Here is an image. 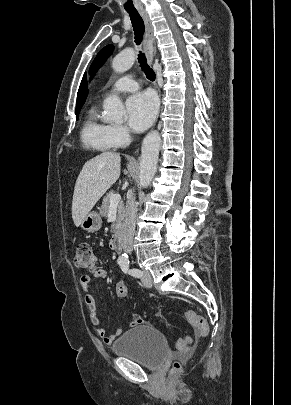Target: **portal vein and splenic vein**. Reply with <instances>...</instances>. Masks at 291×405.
<instances>
[{
    "label": "portal vein and splenic vein",
    "instance_id": "1",
    "mask_svg": "<svg viewBox=\"0 0 291 405\" xmlns=\"http://www.w3.org/2000/svg\"><path fill=\"white\" fill-rule=\"evenodd\" d=\"M121 200L120 194H113L110 198V206H117Z\"/></svg>",
    "mask_w": 291,
    "mask_h": 405
}]
</instances>
